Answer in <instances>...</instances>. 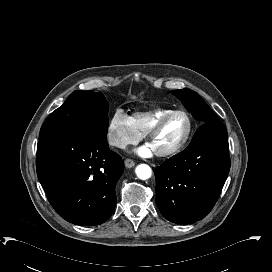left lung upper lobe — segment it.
Listing matches in <instances>:
<instances>
[{"label":"left lung upper lobe","instance_id":"1","mask_svg":"<svg viewBox=\"0 0 272 272\" xmlns=\"http://www.w3.org/2000/svg\"><path fill=\"white\" fill-rule=\"evenodd\" d=\"M178 99L181 100L185 108L192 113V115L205 122L219 121L216 114L209 108L198 93L190 90H174L172 91Z\"/></svg>","mask_w":272,"mask_h":272}]
</instances>
